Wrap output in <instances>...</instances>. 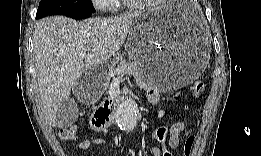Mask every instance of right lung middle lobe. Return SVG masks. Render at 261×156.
Masks as SVG:
<instances>
[{
  "label": "right lung middle lobe",
  "instance_id": "obj_1",
  "mask_svg": "<svg viewBox=\"0 0 261 156\" xmlns=\"http://www.w3.org/2000/svg\"><path fill=\"white\" fill-rule=\"evenodd\" d=\"M91 0H41L36 18L52 14L73 16L77 13H94Z\"/></svg>",
  "mask_w": 261,
  "mask_h": 156
}]
</instances>
